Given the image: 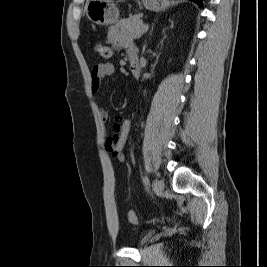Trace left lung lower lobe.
Masks as SVG:
<instances>
[{"label": "left lung lower lobe", "instance_id": "0a47b994", "mask_svg": "<svg viewBox=\"0 0 267 267\" xmlns=\"http://www.w3.org/2000/svg\"><path fill=\"white\" fill-rule=\"evenodd\" d=\"M191 1H194V2H196L199 6H201L202 5V3H201V0H191Z\"/></svg>", "mask_w": 267, "mask_h": 267}]
</instances>
